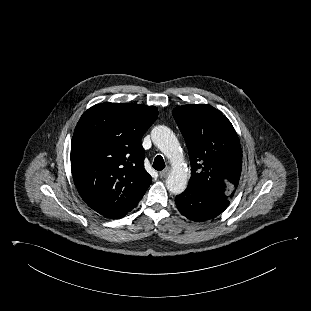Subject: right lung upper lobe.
<instances>
[{"label": "right lung upper lobe", "mask_w": 311, "mask_h": 311, "mask_svg": "<svg viewBox=\"0 0 311 311\" xmlns=\"http://www.w3.org/2000/svg\"><path fill=\"white\" fill-rule=\"evenodd\" d=\"M157 116L154 106L108 102L82 115L71 142V170L91 209L111 217L139 203L152 180L141 138Z\"/></svg>", "instance_id": "cb5924a9"}]
</instances>
